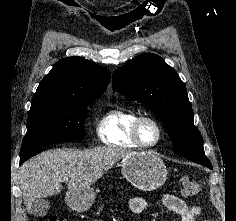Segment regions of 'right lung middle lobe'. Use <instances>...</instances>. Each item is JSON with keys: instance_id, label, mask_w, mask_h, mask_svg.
<instances>
[{"instance_id": "1", "label": "right lung middle lobe", "mask_w": 236, "mask_h": 221, "mask_svg": "<svg viewBox=\"0 0 236 221\" xmlns=\"http://www.w3.org/2000/svg\"><path fill=\"white\" fill-rule=\"evenodd\" d=\"M92 103L32 100L20 155L54 143L82 139L86 107Z\"/></svg>"}]
</instances>
